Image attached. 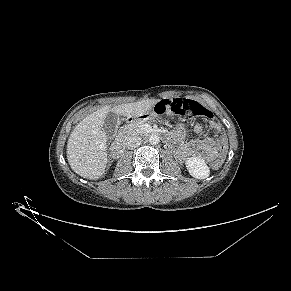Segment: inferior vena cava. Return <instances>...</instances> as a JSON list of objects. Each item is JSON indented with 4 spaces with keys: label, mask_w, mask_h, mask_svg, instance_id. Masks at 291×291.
<instances>
[{
    "label": "inferior vena cava",
    "mask_w": 291,
    "mask_h": 291,
    "mask_svg": "<svg viewBox=\"0 0 291 291\" xmlns=\"http://www.w3.org/2000/svg\"><path fill=\"white\" fill-rule=\"evenodd\" d=\"M141 144V140L139 137H130L127 141H126V147L130 150L137 148L139 145Z\"/></svg>",
    "instance_id": "obj_1"
}]
</instances>
